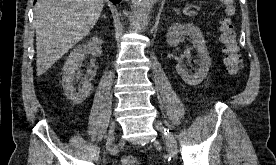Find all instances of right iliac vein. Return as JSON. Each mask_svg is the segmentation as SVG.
Listing matches in <instances>:
<instances>
[{
  "instance_id": "obj_1",
  "label": "right iliac vein",
  "mask_w": 276,
  "mask_h": 165,
  "mask_svg": "<svg viewBox=\"0 0 276 165\" xmlns=\"http://www.w3.org/2000/svg\"><path fill=\"white\" fill-rule=\"evenodd\" d=\"M111 129H114V124H112ZM107 141H108L109 148H111L112 141H113V133L112 132L109 133Z\"/></svg>"
}]
</instances>
